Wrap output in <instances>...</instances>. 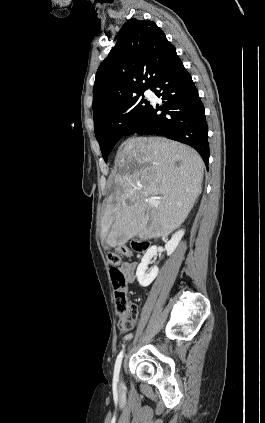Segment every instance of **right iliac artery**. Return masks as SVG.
Segmentation results:
<instances>
[{
	"mask_svg": "<svg viewBox=\"0 0 265 423\" xmlns=\"http://www.w3.org/2000/svg\"><path fill=\"white\" fill-rule=\"evenodd\" d=\"M122 358H123V350L117 356L116 363H115L114 377H113V381H114L115 384H117V382L119 380V372H120V368H121Z\"/></svg>",
	"mask_w": 265,
	"mask_h": 423,
	"instance_id": "obj_1",
	"label": "right iliac artery"
}]
</instances>
